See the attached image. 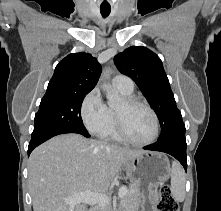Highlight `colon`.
<instances>
[{
	"instance_id": "1",
	"label": "colon",
	"mask_w": 221,
	"mask_h": 211,
	"mask_svg": "<svg viewBox=\"0 0 221 211\" xmlns=\"http://www.w3.org/2000/svg\"><path fill=\"white\" fill-rule=\"evenodd\" d=\"M158 211H179V206L172 195L171 188L163 185L159 191Z\"/></svg>"
}]
</instances>
